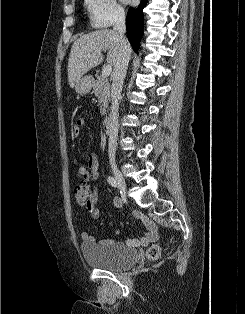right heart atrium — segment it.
I'll use <instances>...</instances> for the list:
<instances>
[{
	"mask_svg": "<svg viewBox=\"0 0 245 314\" xmlns=\"http://www.w3.org/2000/svg\"><path fill=\"white\" fill-rule=\"evenodd\" d=\"M90 23L94 28H108L120 22L125 15L116 0H86Z\"/></svg>",
	"mask_w": 245,
	"mask_h": 314,
	"instance_id": "1",
	"label": "right heart atrium"
}]
</instances>
